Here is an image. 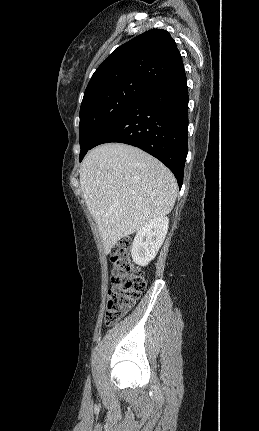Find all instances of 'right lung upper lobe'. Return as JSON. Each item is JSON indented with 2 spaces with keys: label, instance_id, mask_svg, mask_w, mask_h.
Listing matches in <instances>:
<instances>
[{
  "label": "right lung upper lobe",
  "instance_id": "right-lung-upper-lobe-1",
  "mask_svg": "<svg viewBox=\"0 0 259 431\" xmlns=\"http://www.w3.org/2000/svg\"><path fill=\"white\" fill-rule=\"evenodd\" d=\"M183 72L180 52L169 32L151 29L119 46L104 60L92 75L83 99L124 84L151 88Z\"/></svg>",
  "mask_w": 259,
  "mask_h": 431
}]
</instances>
